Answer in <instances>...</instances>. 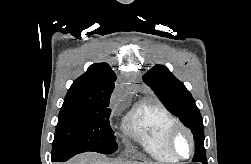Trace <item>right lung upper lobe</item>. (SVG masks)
Returning <instances> with one entry per match:
<instances>
[{"label": "right lung upper lobe", "instance_id": "right-lung-upper-lobe-1", "mask_svg": "<svg viewBox=\"0 0 251 164\" xmlns=\"http://www.w3.org/2000/svg\"><path fill=\"white\" fill-rule=\"evenodd\" d=\"M115 80L116 74L107 63L93 64L73 82L66 98L109 102Z\"/></svg>", "mask_w": 251, "mask_h": 164}]
</instances>
